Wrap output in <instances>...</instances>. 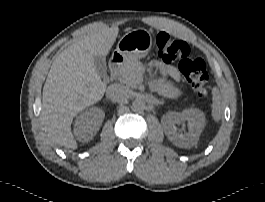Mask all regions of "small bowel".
<instances>
[{"label":"small bowel","mask_w":265,"mask_h":202,"mask_svg":"<svg viewBox=\"0 0 265 202\" xmlns=\"http://www.w3.org/2000/svg\"><path fill=\"white\" fill-rule=\"evenodd\" d=\"M158 67L157 64H152L151 69L154 70ZM161 73L168 78L178 81L180 79V72L175 66H161L160 67Z\"/></svg>","instance_id":"1"}]
</instances>
